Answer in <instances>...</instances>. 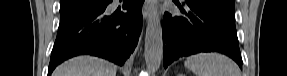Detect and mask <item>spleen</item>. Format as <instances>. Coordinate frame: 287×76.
Segmentation results:
<instances>
[{
  "label": "spleen",
  "instance_id": "spleen-1",
  "mask_svg": "<svg viewBox=\"0 0 287 76\" xmlns=\"http://www.w3.org/2000/svg\"><path fill=\"white\" fill-rule=\"evenodd\" d=\"M184 65L197 76H240L236 63L218 53H201L190 56Z\"/></svg>",
  "mask_w": 287,
  "mask_h": 76
}]
</instances>
